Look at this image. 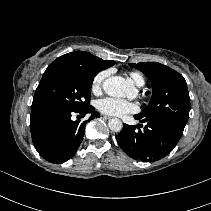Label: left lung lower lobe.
<instances>
[{"label": "left lung lower lobe", "instance_id": "left-lung-lower-lobe-1", "mask_svg": "<svg viewBox=\"0 0 211 211\" xmlns=\"http://www.w3.org/2000/svg\"><path fill=\"white\" fill-rule=\"evenodd\" d=\"M140 123H145L144 130L135 131V126L123 125L117 136L121 149L134 159L154 162L167 156L178 143L184 129L171 122L134 116ZM138 128V127H137Z\"/></svg>", "mask_w": 211, "mask_h": 211}]
</instances>
